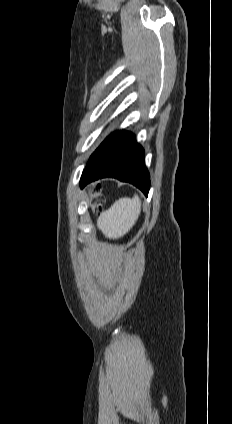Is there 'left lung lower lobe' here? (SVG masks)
<instances>
[{"label": "left lung lower lobe", "mask_w": 232, "mask_h": 424, "mask_svg": "<svg viewBox=\"0 0 232 424\" xmlns=\"http://www.w3.org/2000/svg\"><path fill=\"white\" fill-rule=\"evenodd\" d=\"M104 177L130 182L148 195L150 178L144 163V149L136 143L133 134L116 132L107 137L90 156L80 187Z\"/></svg>", "instance_id": "0a47b994"}]
</instances>
